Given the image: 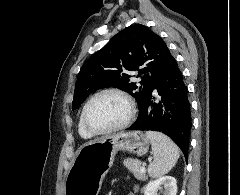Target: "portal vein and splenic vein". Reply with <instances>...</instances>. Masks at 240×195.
<instances>
[{
  "instance_id": "18ae733b",
  "label": "portal vein and splenic vein",
  "mask_w": 240,
  "mask_h": 195,
  "mask_svg": "<svg viewBox=\"0 0 240 195\" xmlns=\"http://www.w3.org/2000/svg\"><path fill=\"white\" fill-rule=\"evenodd\" d=\"M140 171H146L144 165H143V167H140Z\"/></svg>"
}]
</instances>
